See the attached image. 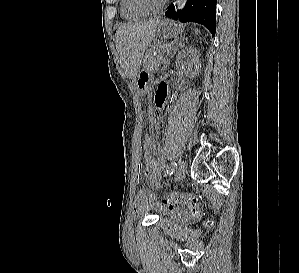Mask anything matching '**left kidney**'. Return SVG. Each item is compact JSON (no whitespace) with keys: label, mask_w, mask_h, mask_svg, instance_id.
I'll list each match as a JSON object with an SVG mask.
<instances>
[{"label":"left kidney","mask_w":299,"mask_h":273,"mask_svg":"<svg viewBox=\"0 0 299 273\" xmlns=\"http://www.w3.org/2000/svg\"><path fill=\"white\" fill-rule=\"evenodd\" d=\"M175 64L177 69L191 78L197 76L201 69L199 54L194 48L182 50L176 57Z\"/></svg>","instance_id":"left-kidney-1"}]
</instances>
